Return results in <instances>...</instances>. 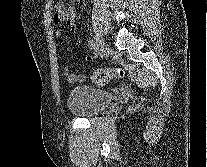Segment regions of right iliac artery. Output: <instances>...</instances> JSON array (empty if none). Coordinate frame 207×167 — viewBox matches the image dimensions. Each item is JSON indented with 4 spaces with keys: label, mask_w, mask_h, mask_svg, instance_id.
<instances>
[{
    "label": "right iliac artery",
    "mask_w": 207,
    "mask_h": 167,
    "mask_svg": "<svg viewBox=\"0 0 207 167\" xmlns=\"http://www.w3.org/2000/svg\"><path fill=\"white\" fill-rule=\"evenodd\" d=\"M88 45H89L90 49H93L95 47V41L93 39H90L88 42Z\"/></svg>",
    "instance_id": "1"
}]
</instances>
